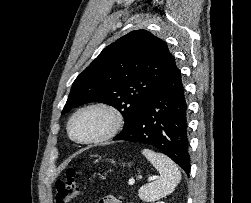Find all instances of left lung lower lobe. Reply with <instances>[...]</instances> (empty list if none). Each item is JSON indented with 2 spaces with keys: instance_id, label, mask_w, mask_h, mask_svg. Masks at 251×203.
I'll use <instances>...</instances> for the list:
<instances>
[{
  "instance_id": "0a47b994",
  "label": "left lung lower lobe",
  "mask_w": 251,
  "mask_h": 203,
  "mask_svg": "<svg viewBox=\"0 0 251 203\" xmlns=\"http://www.w3.org/2000/svg\"><path fill=\"white\" fill-rule=\"evenodd\" d=\"M187 102L181 72L173 59L132 125L113 140L140 142L156 147L188 175Z\"/></svg>"
}]
</instances>
